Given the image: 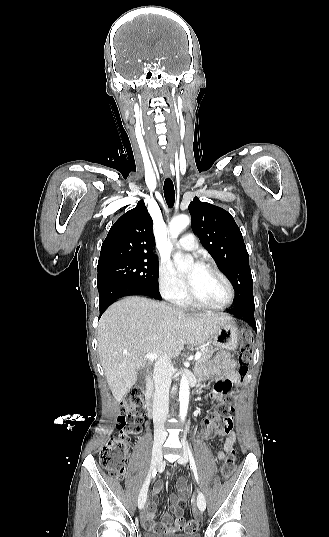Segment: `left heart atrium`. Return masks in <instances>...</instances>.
<instances>
[{"instance_id": "left-heart-atrium-1", "label": "left heart atrium", "mask_w": 329, "mask_h": 537, "mask_svg": "<svg viewBox=\"0 0 329 537\" xmlns=\"http://www.w3.org/2000/svg\"><path fill=\"white\" fill-rule=\"evenodd\" d=\"M195 267H196V270H198L199 268H201V265L197 264ZM189 284L190 285L192 284V278H189Z\"/></svg>"}]
</instances>
